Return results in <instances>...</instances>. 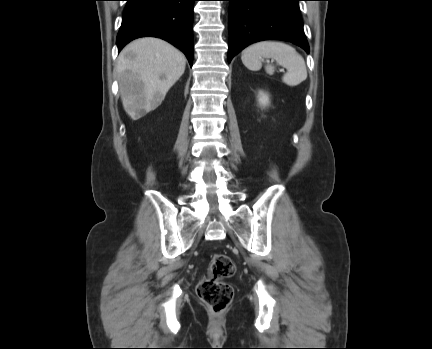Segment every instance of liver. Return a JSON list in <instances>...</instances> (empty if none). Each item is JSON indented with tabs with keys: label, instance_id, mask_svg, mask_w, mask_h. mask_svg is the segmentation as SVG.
I'll return each mask as SVG.
<instances>
[{
	"label": "liver",
	"instance_id": "liver-1",
	"mask_svg": "<svg viewBox=\"0 0 432 349\" xmlns=\"http://www.w3.org/2000/svg\"><path fill=\"white\" fill-rule=\"evenodd\" d=\"M185 66L183 53L161 39L145 37L126 45L116 66L125 111L135 120L156 109Z\"/></svg>",
	"mask_w": 432,
	"mask_h": 349
}]
</instances>
